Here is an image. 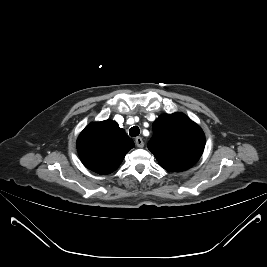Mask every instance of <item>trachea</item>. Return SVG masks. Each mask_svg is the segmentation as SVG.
<instances>
[{"mask_svg": "<svg viewBox=\"0 0 267 267\" xmlns=\"http://www.w3.org/2000/svg\"><path fill=\"white\" fill-rule=\"evenodd\" d=\"M129 134L132 137H136L140 134V129L138 126H133L129 129Z\"/></svg>", "mask_w": 267, "mask_h": 267, "instance_id": "1", "label": "trachea"}]
</instances>
